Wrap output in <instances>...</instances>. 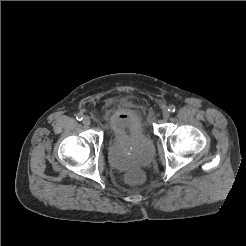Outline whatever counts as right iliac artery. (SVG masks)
Returning <instances> with one entry per match:
<instances>
[{
  "label": "right iliac artery",
  "mask_w": 246,
  "mask_h": 246,
  "mask_svg": "<svg viewBox=\"0 0 246 246\" xmlns=\"http://www.w3.org/2000/svg\"><path fill=\"white\" fill-rule=\"evenodd\" d=\"M76 119L78 120V121H81L82 119H83V115L82 114H77L76 115Z\"/></svg>",
  "instance_id": "1"
}]
</instances>
